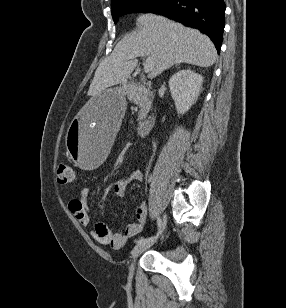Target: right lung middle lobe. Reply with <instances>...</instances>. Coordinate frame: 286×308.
Segmentation results:
<instances>
[{
    "label": "right lung middle lobe",
    "instance_id": "obj_1",
    "mask_svg": "<svg viewBox=\"0 0 286 308\" xmlns=\"http://www.w3.org/2000/svg\"><path fill=\"white\" fill-rule=\"evenodd\" d=\"M168 0H117L112 6V16L114 23L118 17L131 12H156Z\"/></svg>",
    "mask_w": 286,
    "mask_h": 308
}]
</instances>
